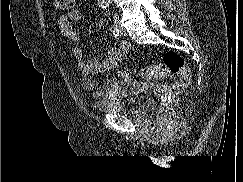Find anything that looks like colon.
I'll return each instance as SVG.
<instances>
[{"label": "colon", "mask_w": 243, "mask_h": 182, "mask_svg": "<svg viewBox=\"0 0 243 182\" xmlns=\"http://www.w3.org/2000/svg\"><path fill=\"white\" fill-rule=\"evenodd\" d=\"M54 3L61 10H70L74 7L75 0H54ZM140 75L145 80L162 79L170 75L178 76V79L162 94V99L165 102L180 94L191 79L184 59L174 51L164 53L161 63L142 68Z\"/></svg>", "instance_id": "1"}]
</instances>
